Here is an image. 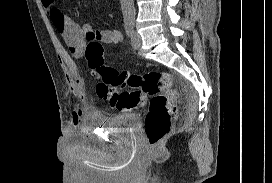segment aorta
I'll return each instance as SVG.
<instances>
[{
  "mask_svg": "<svg viewBox=\"0 0 272 183\" xmlns=\"http://www.w3.org/2000/svg\"><path fill=\"white\" fill-rule=\"evenodd\" d=\"M122 14L125 24H134L135 22V8L134 0H120Z\"/></svg>",
  "mask_w": 272,
  "mask_h": 183,
  "instance_id": "aorta-1",
  "label": "aorta"
}]
</instances>
